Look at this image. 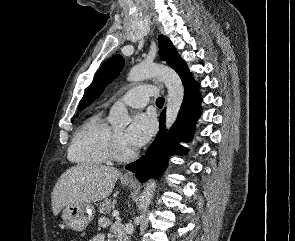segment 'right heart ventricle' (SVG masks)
I'll use <instances>...</instances> for the list:
<instances>
[{
  "label": "right heart ventricle",
  "instance_id": "right-heart-ventricle-1",
  "mask_svg": "<svg viewBox=\"0 0 295 241\" xmlns=\"http://www.w3.org/2000/svg\"><path fill=\"white\" fill-rule=\"evenodd\" d=\"M113 130L102 112L89 117L76 131L68 150V158L85 166L102 165L109 161L108 147Z\"/></svg>",
  "mask_w": 295,
  "mask_h": 241
}]
</instances>
